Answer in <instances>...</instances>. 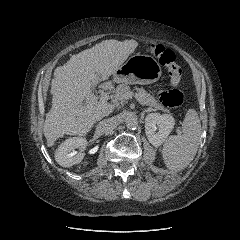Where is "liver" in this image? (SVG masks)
<instances>
[{"label":"liver","instance_id":"1","mask_svg":"<svg viewBox=\"0 0 240 240\" xmlns=\"http://www.w3.org/2000/svg\"><path fill=\"white\" fill-rule=\"evenodd\" d=\"M137 46L135 40H105L73 55L55 69L51 82L52 106L43 126L48 147L65 134L86 135L97 121L113 112L114 105L105 98L79 106L92 95V87L107 80Z\"/></svg>","mask_w":240,"mask_h":240}]
</instances>
